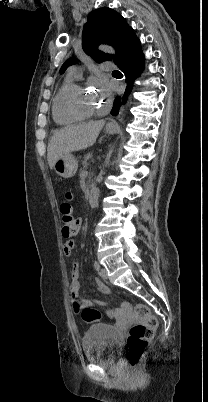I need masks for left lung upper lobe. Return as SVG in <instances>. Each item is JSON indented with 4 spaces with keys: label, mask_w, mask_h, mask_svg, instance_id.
<instances>
[{
    "label": "left lung upper lobe",
    "mask_w": 208,
    "mask_h": 402,
    "mask_svg": "<svg viewBox=\"0 0 208 402\" xmlns=\"http://www.w3.org/2000/svg\"><path fill=\"white\" fill-rule=\"evenodd\" d=\"M129 28L125 19L113 9L103 7L94 10L89 14L83 28L82 48L98 63L115 59ZM100 44L112 45L116 50L115 56L99 51L96 47ZM75 63L74 58L66 60L60 73Z\"/></svg>",
    "instance_id": "left-lung-upper-lobe-1"
}]
</instances>
